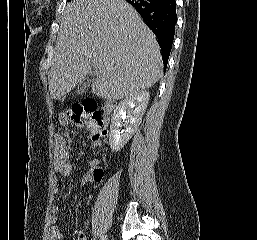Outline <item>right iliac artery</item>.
Here are the masks:
<instances>
[{
  "mask_svg": "<svg viewBox=\"0 0 257 240\" xmlns=\"http://www.w3.org/2000/svg\"><path fill=\"white\" fill-rule=\"evenodd\" d=\"M92 240H96V238L94 237Z\"/></svg>",
  "mask_w": 257,
  "mask_h": 240,
  "instance_id": "right-iliac-artery-1",
  "label": "right iliac artery"
}]
</instances>
